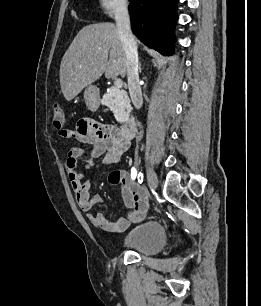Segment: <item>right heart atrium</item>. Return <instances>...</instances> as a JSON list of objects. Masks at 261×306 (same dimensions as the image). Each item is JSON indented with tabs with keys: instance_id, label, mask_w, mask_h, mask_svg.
<instances>
[{
	"instance_id": "d8ad5b80",
	"label": "right heart atrium",
	"mask_w": 261,
	"mask_h": 306,
	"mask_svg": "<svg viewBox=\"0 0 261 306\" xmlns=\"http://www.w3.org/2000/svg\"><path fill=\"white\" fill-rule=\"evenodd\" d=\"M129 0H97V8L101 14L111 17L125 11Z\"/></svg>"
}]
</instances>
